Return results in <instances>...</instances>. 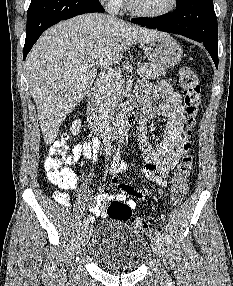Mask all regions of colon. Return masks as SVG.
I'll list each match as a JSON object with an SVG mask.
<instances>
[{"mask_svg": "<svg viewBox=\"0 0 233 286\" xmlns=\"http://www.w3.org/2000/svg\"><path fill=\"white\" fill-rule=\"evenodd\" d=\"M179 84L183 91L184 104L186 110V126L189 137L196 125V117L201 105V92L196 73L188 66H182L179 70ZM67 137L57 141L47 152L44 166L50 181L61 189H69L76 185V176L74 172L65 167L68 160ZM183 148L186 154L182 157L172 178L170 188V203L172 206H178L184 200L189 185V177L192 170V157L189 154L192 149V143L188 139L184 142ZM107 215L115 220H130L133 228L143 234H149V226L146 221L140 217H132L131 208L122 201L112 200L106 206Z\"/></svg>", "mask_w": 233, "mask_h": 286, "instance_id": "1", "label": "colon"}]
</instances>
